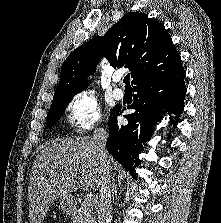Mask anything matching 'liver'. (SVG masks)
<instances>
[{"label":"liver","mask_w":221,"mask_h":223,"mask_svg":"<svg viewBox=\"0 0 221 223\" xmlns=\"http://www.w3.org/2000/svg\"><path fill=\"white\" fill-rule=\"evenodd\" d=\"M109 168L114 160L107 155ZM78 179V181H77ZM100 161L87 136L53 142L34 161L28 187L30 223H42L50 204L82 187L99 189Z\"/></svg>","instance_id":"liver-1"}]
</instances>
